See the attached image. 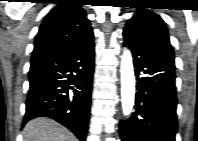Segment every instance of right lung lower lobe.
<instances>
[{
  "label": "right lung lower lobe",
  "mask_w": 198,
  "mask_h": 141,
  "mask_svg": "<svg viewBox=\"0 0 198 141\" xmlns=\"http://www.w3.org/2000/svg\"><path fill=\"white\" fill-rule=\"evenodd\" d=\"M94 72L93 33L31 61L23 123L50 117L85 141Z\"/></svg>",
  "instance_id": "98d812e1"
}]
</instances>
